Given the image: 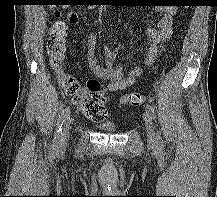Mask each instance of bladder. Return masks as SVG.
I'll use <instances>...</instances> for the list:
<instances>
[{
    "instance_id": "obj_1",
    "label": "bladder",
    "mask_w": 217,
    "mask_h": 197,
    "mask_svg": "<svg viewBox=\"0 0 217 197\" xmlns=\"http://www.w3.org/2000/svg\"><path fill=\"white\" fill-rule=\"evenodd\" d=\"M97 128L100 130H104L107 132H116L117 131V125L115 123H104L97 125Z\"/></svg>"
}]
</instances>
